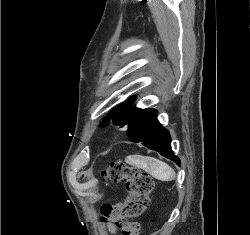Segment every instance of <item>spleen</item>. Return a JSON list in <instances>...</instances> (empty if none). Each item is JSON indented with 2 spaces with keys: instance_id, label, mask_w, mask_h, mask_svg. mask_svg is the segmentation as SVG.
Here are the masks:
<instances>
[{
  "instance_id": "1",
  "label": "spleen",
  "mask_w": 250,
  "mask_h": 235,
  "mask_svg": "<svg viewBox=\"0 0 250 235\" xmlns=\"http://www.w3.org/2000/svg\"><path fill=\"white\" fill-rule=\"evenodd\" d=\"M128 164L137 166L151 174L154 178L161 181H172L175 179L176 174L165 162H162L153 157H144L140 155H132L126 158Z\"/></svg>"
}]
</instances>
